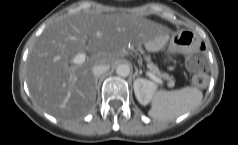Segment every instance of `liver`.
<instances>
[{
	"instance_id": "6515ba94",
	"label": "liver",
	"mask_w": 238,
	"mask_h": 145,
	"mask_svg": "<svg viewBox=\"0 0 238 145\" xmlns=\"http://www.w3.org/2000/svg\"><path fill=\"white\" fill-rule=\"evenodd\" d=\"M167 29L127 13L73 12L55 19L38 38L27 59L30 94L58 119L86 114L96 100L93 67L114 65L129 43L139 46ZM91 57L70 65L79 53Z\"/></svg>"
}]
</instances>
